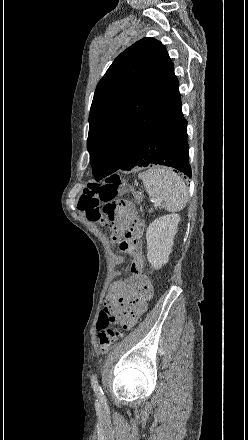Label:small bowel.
I'll use <instances>...</instances> for the list:
<instances>
[{
  "label": "small bowel",
  "instance_id": "c3829d8e",
  "mask_svg": "<svg viewBox=\"0 0 248 440\" xmlns=\"http://www.w3.org/2000/svg\"><path fill=\"white\" fill-rule=\"evenodd\" d=\"M124 220L116 222L113 231L121 238L120 250L133 257L132 275L125 281H117L107 295L106 308L116 312L117 320L124 331H131L140 316L146 311L148 301L152 297V285L143 273L144 259L142 256L141 237L143 225L136 219L134 207L129 202L123 203ZM116 264L124 261V257L116 256Z\"/></svg>",
  "mask_w": 248,
  "mask_h": 440
}]
</instances>
